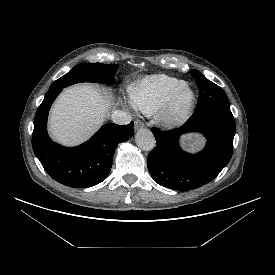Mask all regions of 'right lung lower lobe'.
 I'll use <instances>...</instances> for the list:
<instances>
[{
	"label": "right lung lower lobe",
	"mask_w": 275,
	"mask_h": 275,
	"mask_svg": "<svg viewBox=\"0 0 275 275\" xmlns=\"http://www.w3.org/2000/svg\"><path fill=\"white\" fill-rule=\"evenodd\" d=\"M62 89H49L38 107L32 147L43 168L54 180L73 188L91 187L106 179L115 148L120 142L130 139L134 133V123H109L84 144L73 148L62 147L51 141L46 127L50 107Z\"/></svg>",
	"instance_id": "right-lung-lower-lobe-1"
}]
</instances>
